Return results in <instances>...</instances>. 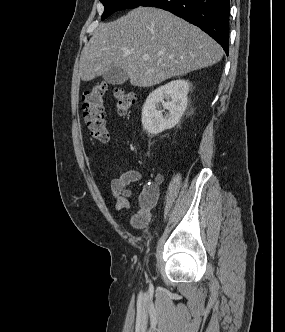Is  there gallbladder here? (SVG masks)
I'll use <instances>...</instances> for the list:
<instances>
[{"label":"gallbladder","instance_id":"obj_1","mask_svg":"<svg viewBox=\"0 0 285 332\" xmlns=\"http://www.w3.org/2000/svg\"><path fill=\"white\" fill-rule=\"evenodd\" d=\"M128 78V73L119 67H114L103 75V79L112 85L123 84L128 80Z\"/></svg>","mask_w":285,"mask_h":332}]
</instances>
